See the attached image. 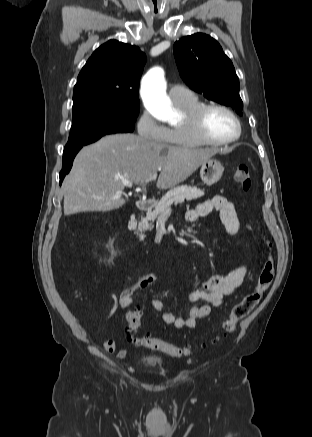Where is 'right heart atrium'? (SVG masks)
Here are the masks:
<instances>
[{
    "label": "right heart atrium",
    "instance_id": "d8ad5b80",
    "mask_svg": "<svg viewBox=\"0 0 312 437\" xmlns=\"http://www.w3.org/2000/svg\"><path fill=\"white\" fill-rule=\"evenodd\" d=\"M137 131L141 138L157 143H164L168 136V128L147 110L141 113L137 121Z\"/></svg>",
    "mask_w": 312,
    "mask_h": 437
}]
</instances>
